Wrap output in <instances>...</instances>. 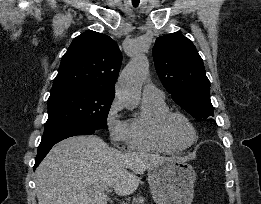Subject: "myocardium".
Segmentation results:
<instances>
[{"instance_id": "f54148a6", "label": "myocardium", "mask_w": 261, "mask_h": 204, "mask_svg": "<svg viewBox=\"0 0 261 204\" xmlns=\"http://www.w3.org/2000/svg\"><path fill=\"white\" fill-rule=\"evenodd\" d=\"M174 119H179L182 120L184 123L188 125V127L191 129L193 138L190 143L187 145H179L176 143V141L172 138L170 131H169V126L170 123ZM158 131L162 139L167 142L169 145L174 147L177 150H185L191 147L197 140V130L192 123V121L183 113L178 112V111H168L165 113L159 120L158 122Z\"/></svg>"}]
</instances>
